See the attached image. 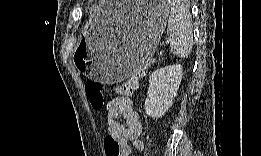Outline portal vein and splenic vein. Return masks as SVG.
<instances>
[{
    "label": "portal vein and splenic vein",
    "mask_w": 261,
    "mask_h": 156,
    "mask_svg": "<svg viewBox=\"0 0 261 156\" xmlns=\"http://www.w3.org/2000/svg\"><path fill=\"white\" fill-rule=\"evenodd\" d=\"M169 43H170V39H167V40H166V44H169Z\"/></svg>",
    "instance_id": "obj_1"
}]
</instances>
